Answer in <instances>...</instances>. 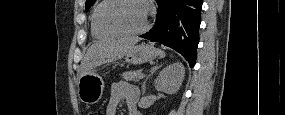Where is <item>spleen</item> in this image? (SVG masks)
Here are the masks:
<instances>
[{"label": "spleen", "instance_id": "spleen-1", "mask_svg": "<svg viewBox=\"0 0 285 115\" xmlns=\"http://www.w3.org/2000/svg\"><path fill=\"white\" fill-rule=\"evenodd\" d=\"M159 55H160L161 58L165 57V53L163 51H161V50H159Z\"/></svg>", "mask_w": 285, "mask_h": 115}]
</instances>
